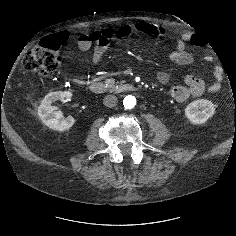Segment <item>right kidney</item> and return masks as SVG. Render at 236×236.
<instances>
[{
	"mask_svg": "<svg viewBox=\"0 0 236 236\" xmlns=\"http://www.w3.org/2000/svg\"><path fill=\"white\" fill-rule=\"evenodd\" d=\"M71 97L72 93L69 91H56L47 94L38 107V116L43 124L57 131L71 128L75 122L74 118L72 116L65 118L60 110H55L52 106V103L56 100H70Z\"/></svg>",
	"mask_w": 236,
	"mask_h": 236,
	"instance_id": "right-kidney-1",
	"label": "right kidney"
}]
</instances>
